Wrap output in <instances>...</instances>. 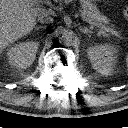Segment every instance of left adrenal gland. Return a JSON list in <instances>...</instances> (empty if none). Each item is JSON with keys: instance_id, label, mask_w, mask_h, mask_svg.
I'll return each mask as SVG.
<instances>
[{"instance_id": "1", "label": "left adrenal gland", "mask_w": 128, "mask_h": 128, "mask_svg": "<svg viewBox=\"0 0 128 128\" xmlns=\"http://www.w3.org/2000/svg\"><path fill=\"white\" fill-rule=\"evenodd\" d=\"M82 33H84V34H88V33H92V31L90 30V29H88L87 27H84V28H82V27H80V29H79Z\"/></svg>"}]
</instances>
